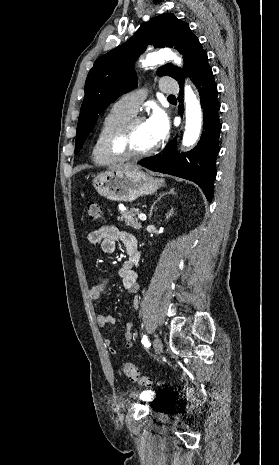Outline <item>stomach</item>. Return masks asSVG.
<instances>
[{
    "instance_id": "stomach-1",
    "label": "stomach",
    "mask_w": 279,
    "mask_h": 465,
    "mask_svg": "<svg viewBox=\"0 0 279 465\" xmlns=\"http://www.w3.org/2000/svg\"><path fill=\"white\" fill-rule=\"evenodd\" d=\"M163 185V179L138 169L109 171L93 179V186L101 196L118 202H132L140 196L154 194Z\"/></svg>"
}]
</instances>
